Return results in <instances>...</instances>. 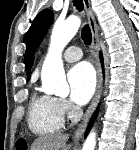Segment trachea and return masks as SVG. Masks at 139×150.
I'll return each mask as SVG.
<instances>
[{
  "mask_svg": "<svg viewBox=\"0 0 139 150\" xmlns=\"http://www.w3.org/2000/svg\"><path fill=\"white\" fill-rule=\"evenodd\" d=\"M74 6L79 11L83 10V1L82 0H73ZM82 39L86 45H90L92 42V33L90 30V27L88 25H85L82 28Z\"/></svg>",
  "mask_w": 139,
  "mask_h": 150,
  "instance_id": "obj_1",
  "label": "trachea"
}]
</instances>
